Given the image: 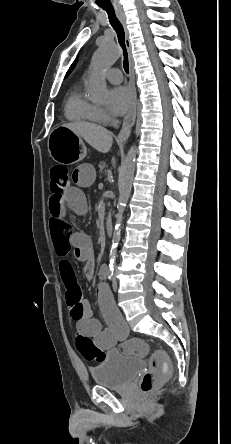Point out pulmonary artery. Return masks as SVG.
<instances>
[{"label":"pulmonary artery","instance_id":"e3ab8cb5","mask_svg":"<svg viewBox=\"0 0 231 444\" xmlns=\"http://www.w3.org/2000/svg\"><path fill=\"white\" fill-rule=\"evenodd\" d=\"M106 77L113 84H118L123 80L122 72L116 68L108 70L106 72Z\"/></svg>","mask_w":231,"mask_h":444}]
</instances>
